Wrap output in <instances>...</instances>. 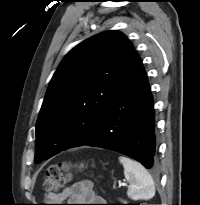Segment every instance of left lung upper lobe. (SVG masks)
Returning <instances> with one entry per match:
<instances>
[{
  "mask_svg": "<svg viewBox=\"0 0 200 205\" xmlns=\"http://www.w3.org/2000/svg\"><path fill=\"white\" fill-rule=\"evenodd\" d=\"M134 53L120 32L97 34L72 49L48 86L36 123L35 161L80 146L95 131ZM60 143L49 153L45 143Z\"/></svg>",
  "mask_w": 200,
  "mask_h": 205,
  "instance_id": "obj_1",
  "label": "left lung upper lobe"
}]
</instances>
